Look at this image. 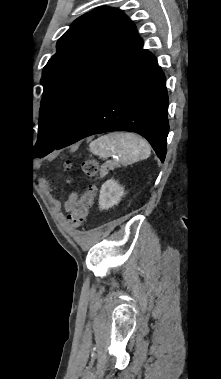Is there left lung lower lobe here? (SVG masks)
<instances>
[{"label": "left lung lower lobe", "instance_id": "left-lung-lower-lobe-1", "mask_svg": "<svg viewBox=\"0 0 221 379\" xmlns=\"http://www.w3.org/2000/svg\"><path fill=\"white\" fill-rule=\"evenodd\" d=\"M165 76L156 58L142 50L100 94L56 149L85 137L131 131L145 137L163 162L169 131Z\"/></svg>", "mask_w": 221, "mask_h": 379}]
</instances>
